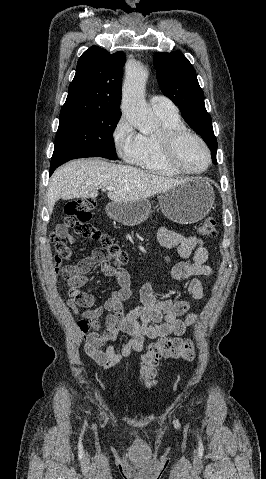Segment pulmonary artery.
<instances>
[{"mask_svg":"<svg viewBox=\"0 0 266 479\" xmlns=\"http://www.w3.org/2000/svg\"><path fill=\"white\" fill-rule=\"evenodd\" d=\"M150 105L155 113L158 114H169L175 115L178 114L177 107L173 102L165 96L155 95L150 99Z\"/></svg>","mask_w":266,"mask_h":479,"instance_id":"obj_1","label":"pulmonary artery"}]
</instances>
